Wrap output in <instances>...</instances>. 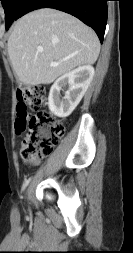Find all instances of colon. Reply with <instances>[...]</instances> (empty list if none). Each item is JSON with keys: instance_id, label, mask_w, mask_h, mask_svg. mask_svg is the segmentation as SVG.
Instances as JSON below:
<instances>
[{"instance_id": "5ec220e1", "label": "colon", "mask_w": 133, "mask_h": 253, "mask_svg": "<svg viewBox=\"0 0 133 253\" xmlns=\"http://www.w3.org/2000/svg\"><path fill=\"white\" fill-rule=\"evenodd\" d=\"M16 131L24 133L21 157L26 162L48 156L64 134L63 123L42 108L45 106V91L34 86L18 91ZM30 110L36 113L30 115Z\"/></svg>"}]
</instances>
